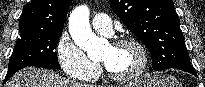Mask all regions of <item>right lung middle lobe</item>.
Instances as JSON below:
<instances>
[{"instance_id": "dd1d6c3e", "label": "right lung middle lobe", "mask_w": 205, "mask_h": 87, "mask_svg": "<svg viewBox=\"0 0 205 87\" xmlns=\"http://www.w3.org/2000/svg\"><path fill=\"white\" fill-rule=\"evenodd\" d=\"M61 31L21 32L9 61V68L36 66L60 69L54 51Z\"/></svg>"}]
</instances>
